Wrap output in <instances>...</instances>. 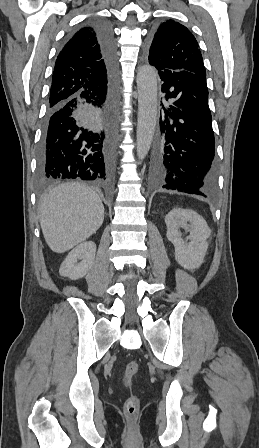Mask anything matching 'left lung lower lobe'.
I'll return each instance as SVG.
<instances>
[{"mask_svg":"<svg viewBox=\"0 0 259 448\" xmlns=\"http://www.w3.org/2000/svg\"><path fill=\"white\" fill-rule=\"evenodd\" d=\"M164 99L161 141L151 167L157 189L207 197L216 190L218 167L206 78L184 70H158Z\"/></svg>","mask_w":259,"mask_h":448,"instance_id":"0a47b994","label":"left lung lower lobe"}]
</instances>
